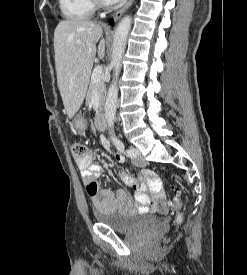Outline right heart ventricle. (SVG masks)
<instances>
[{"instance_id":"e07e8e85","label":"right heart ventricle","mask_w":247,"mask_h":275,"mask_svg":"<svg viewBox=\"0 0 247 275\" xmlns=\"http://www.w3.org/2000/svg\"><path fill=\"white\" fill-rule=\"evenodd\" d=\"M62 15L71 20L88 19L96 8L94 0H59Z\"/></svg>"}]
</instances>
